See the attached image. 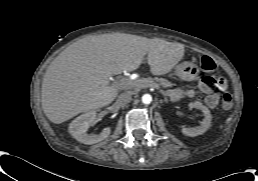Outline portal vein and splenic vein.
Segmentation results:
<instances>
[{
    "mask_svg": "<svg viewBox=\"0 0 258 181\" xmlns=\"http://www.w3.org/2000/svg\"><path fill=\"white\" fill-rule=\"evenodd\" d=\"M143 82L134 83L133 85L141 86Z\"/></svg>",
    "mask_w": 258,
    "mask_h": 181,
    "instance_id": "1",
    "label": "portal vein and splenic vein"
}]
</instances>
